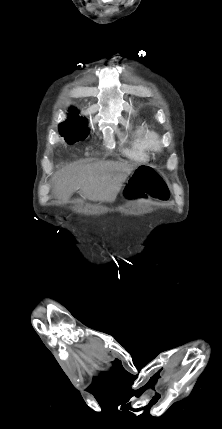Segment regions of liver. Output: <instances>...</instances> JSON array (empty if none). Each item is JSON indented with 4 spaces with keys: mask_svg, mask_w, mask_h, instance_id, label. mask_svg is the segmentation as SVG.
<instances>
[{
    "mask_svg": "<svg viewBox=\"0 0 222 429\" xmlns=\"http://www.w3.org/2000/svg\"><path fill=\"white\" fill-rule=\"evenodd\" d=\"M135 169L133 164L118 161L72 164L55 174L53 191L60 204L77 191L84 199L113 202Z\"/></svg>",
    "mask_w": 222,
    "mask_h": 429,
    "instance_id": "obj_1",
    "label": "liver"
}]
</instances>
